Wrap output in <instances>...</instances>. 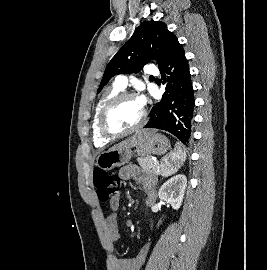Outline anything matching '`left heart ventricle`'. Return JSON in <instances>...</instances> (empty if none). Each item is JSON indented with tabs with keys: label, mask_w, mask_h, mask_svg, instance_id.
<instances>
[{
	"label": "left heart ventricle",
	"mask_w": 267,
	"mask_h": 270,
	"mask_svg": "<svg viewBox=\"0 0 267 270\" xmlns=\"http://www.w3.org/2000/svg\"><path fill=\"white\" fill-rule=\"evenodd\" d=\"M142 108L135 99L120 102L110 113L108 125L115 132L134 127L141 119Z\"/></svg>",
	"instance_id": "obj_1"
}]
</instances>
